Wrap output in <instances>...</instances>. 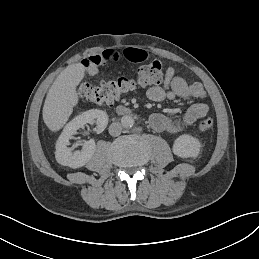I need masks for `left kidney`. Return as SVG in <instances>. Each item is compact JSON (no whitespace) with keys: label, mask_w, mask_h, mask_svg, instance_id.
<instances>
[{"label":"left kidney","mask_w":259,"mask_h":259,"mask_svg":"<svg viewBox=\"0 0 259 259\" xmlns=\"http://www.w3.org/2000/svg\"><path fill=\"white\" fill-rule=\"evenodd\" d=\"M172 152L180 158H191L196 161L201 158V143L191 134H182L174 140Z\"/></svg>","instance_id":"obj_1"}]
</instances>
